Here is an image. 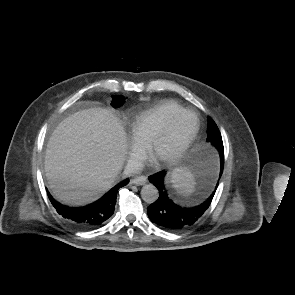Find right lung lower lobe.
<instances>
[{"label":"right lung lower lobe","instance_id":"right-lung-lower-lobe-1","mask_svg":"<svg viewBox=\"0 0 295 295\" xmlns=\"http://www.w3.org/2000/svg\"><path fill=\"white\" fill-rule=\"evenodd\" d=\"M128 182L129 179L120 182L96 202L80 208L63 206L56 202L49 193L48 196L57 212L68 222L81 229H92L103 224L113 214L117 191Z\"/></svg>","mask_w":295,"mask_h":295}]
</instances>
